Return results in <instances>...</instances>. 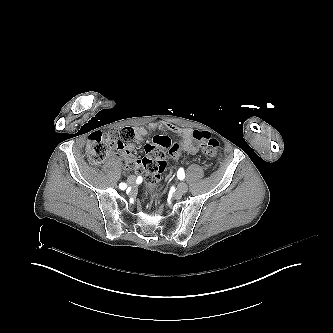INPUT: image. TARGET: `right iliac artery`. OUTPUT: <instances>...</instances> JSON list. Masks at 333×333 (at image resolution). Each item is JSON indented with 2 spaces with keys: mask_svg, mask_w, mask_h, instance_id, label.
<instances>
[{
  "mask_svg": "<svg viewBox=\"0 0 333 333\" xmlns=\"http://www.w3.org/2000/svg\"><path fill=\"white\" fill-rule=\"evenodd\" d=\"M119 187L120 189L124 190L126 189L127 185L125 183H120Z\"/></svg>",
  "mask_w": 333,
  "mask_h": 333,
  "instance_id": "right-iliac-artery-1",
  "label": "right iliac artery"
}]
</instances>
